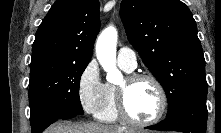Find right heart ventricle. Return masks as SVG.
<instances>
[{"label":"right heart ventricle","instance_id":"1","mask_svg":"<svg viewBox=\"0 0 221 133\" xmlns=\"http://www.w3.org/2000/svg\"><path fill=\"white\" fill-rule=\"evenodd\" d=\"M120 67L126 72L132 71L123 66ZM116 93H117L116 85L112 83L105 84L104 98L97 113L95 114L98 120L106 123H115L120 120L117 111Z\"/></svg>","mask_w":221,"mask_h":133}]
</instances>
